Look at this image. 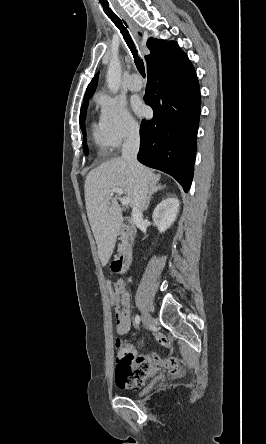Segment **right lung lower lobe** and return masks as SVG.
<instances>
[{"label": "right lung lower lobe", "instance_id": "98d812e1", "mask_svg": "<svg viewBox=\"0 0 266 444\" xmlns=\"http://www.w3.org/2000/svg\"><path fill=\"white\" fill-rule=\"evenodd\" d=\"M144 100L154 110L142 120L138 160L173 176L187 192L193 178L200 116V90L193 65L184 54L147 70Z\"/></svg>", "mask_w": 266, "mask_h": 444}]
</instances>
